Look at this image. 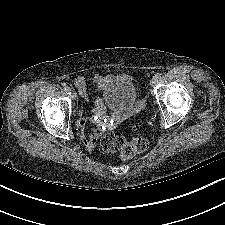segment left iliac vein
Masks as SVG:
<instances>
[{"mask_svg": "<svg viewBox=\"0 0 225 225\" xmlns=\"http://www.w3.org/2000/svg\"><path fill=\"white\" fill-rule=\"evenodd\" d=\"M156 81H157V80L153 77V78L150 80V83H149L150 86L153 87V86L156 84Z\"/></svg>", "mask_w": 225, "mask_h": 225, "instance_id": "left-iliac-vein-1", "label": "left iliac vein"}]
</instances>
